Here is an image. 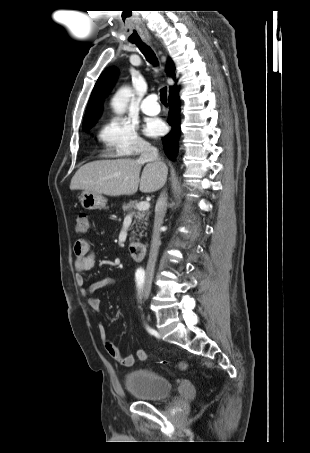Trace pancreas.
I'll return each instance as SVG.
<instances>
[{"label": "pancreas", "instance_id": "pancreas-1", "mask_svg": "<svg viewBox=\"0 0 310 453\" xmlns=\"http://www.w3.org/2000/svg\"><path fill=\"white\" fill-rule=\"evenodd\" d=\"M136 207H137V202L130 201L128 204L124 203L122 206V209L124 212H130V211H132V209H136ZM133 216H134L133 225H135V227H136V232H139V236L142 237L143 236L142 233L144 232V229H146V227H144L143 225H147L149 213L147 211H137V212L134 211ZM136 232L132 231L130 240L135 239Z\"/></svg>", "mask_w": 310, "mask_h": 453}]
</instances>
